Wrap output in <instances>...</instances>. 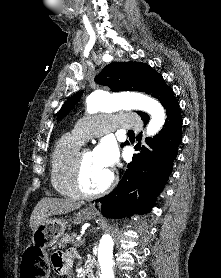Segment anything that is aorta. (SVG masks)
<instances>
[{"label": "aorta", "instance_id": "1", "mask_svg": "<svg viewBox=\"0 0 221 278\" xmlns=\"http://www.w3.org/2000/svg\"><path fill=\"white\" fill-rule=\"evenodd\" d=\"M86 104V110L89 114L121 108L147 112L151 116L146 128L148 136L157 134L165 123L166 115L162 105L158 101L142 94L114 97L107 92L96 90L87 97ZM113 248L112 237L109 234L103 235L98 248V261L101 268L100 278H114Z\"/></svg>", "mask_w": 221, "mask_h": 278}]
</instances>
